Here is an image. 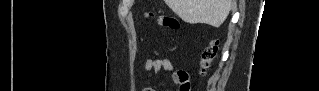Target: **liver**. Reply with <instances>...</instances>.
<instances>
[{"label": "liver", "instance_id": "1", "mask_svg": "<svg viewBox=\"0 0 319 91\" xmlns=\"http://www.w3.org/2000/svg\"><path fill=\"white\" fill-rule=\"evenodd\" d=\"M166 4L183 21L191 24H208L220 27L226 20L232 0H165Z\"/></svg>", "mask_w": 319, "mask_h": 91}]
</instances>
